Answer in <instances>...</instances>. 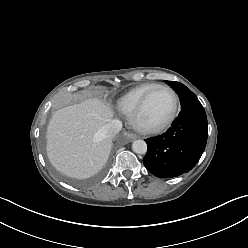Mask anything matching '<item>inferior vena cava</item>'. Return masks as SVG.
<instances>
[{
	"label": "inferior vena cava",
	"mask_w": 248,
	"mask_h": 248,
	"mask_svg": "<svg viewBox=\"0 0 248 248\" xmlns=\"http://www.w3.org/2000/svg\"><path fill=\"white\" fill-rule=\"evenodd\" d=\"M122 129V122L118 119H114L107 123L103 130L108 138H113Z\"/></svg>",
	"instance_id": "602c4592"
}]
</instances>
